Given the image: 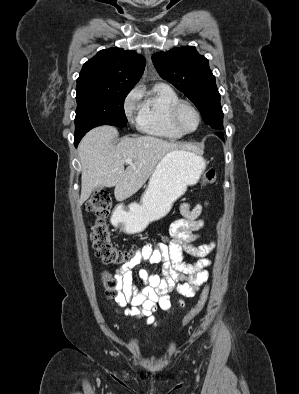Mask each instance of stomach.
I'll return each mask as SVG.
<instances>
[{
    "label": "stomach",
    "mask_w": 299,
    "mask_h": 394,
    "mask_svg": "<svg viewBox=\"0 0 299 394\" xmlns=\"http://www.w3.org/2000/svg\"><path fill=\"white\" fill-rule=\"evenodd\" d=\"M204 169L205 160L197 153L185 149L167 153L150 177L140 203H131L121 212L123 231L142 232L149 223L164 217L187 186L197 183Z\"/></svg>",
    "instance_id": "stomach-1"
}]
</instances>
